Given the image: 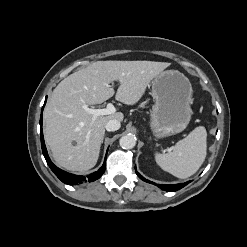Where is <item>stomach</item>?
<instances>
[{"label": "stomach", "mask_w": 247, "mask_h": 247, "mask_svg": "<svg viewBox=\"0 0 247 247\" xmlns=\"http://www.w3.org/2000/svg\"><path fill=\"white\" fill-rule=\"evenodd\" d=\"M192 86L178 70L162 71L152 81L155 104L151 111L150 126L157 138L182 132L190 122Z\"/></svg>", "instance_id": "stomach-1"}]
</instances>
